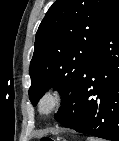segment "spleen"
Returning a JSON list of instances; mask_svg holds the SVG:
<instances>
[{
  "instance_id": "spleen-1",
  "label": "spleen",
  "mask_w": 119,
  "mask_h": 141,
  "mask_svg": "<svg viewBox=\"0 0 119 141\" xmlns=\"http://www.w3.org/2000/svg\"><path fill=\"white\" fill-rule=\"evenodd\" d=\"M87 141H98L96 138L90 137Z\"/></svg>"
}]
</instances>
